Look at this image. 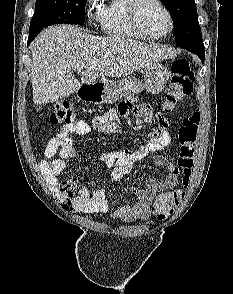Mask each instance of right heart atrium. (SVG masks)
Instances as JSON below:
<instances>
[{
  "label": "right heart atrium",
  "mask_w": 233,
  "mask_h": 294,
  "mask_svg": "<svg viewBox=\"0 0 233 294\" xmlns=\"http://www.w3.org/2000/svg\"><path fill=\"white\" fill-rule=\"evenodd\" d=\"M86 7L89 11H95L98 15L100 11L99 0H86Z\"/></svg>",
  "instance_id": "right-heart-atrium-1"
}]
</instances>
